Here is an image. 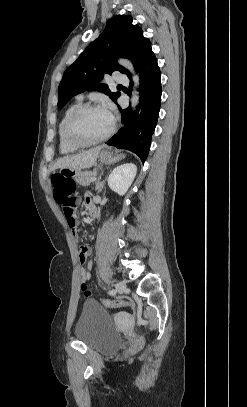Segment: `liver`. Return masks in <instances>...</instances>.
Wrapping results in <instances>:
<instances>
[{"instance_id": "liver-1", "label": "liver", "mask_w": 247, "mask_h": 407, "mask_svg": "<svg viewBox=\"0 0 247 407\" xmlns=\"http://www.w3.org/2000/svg\"><path fill=\"white\" fill-rule=\"evenodd\" d=\"M102 148L103 146H98L76 155L62 157L55 162L53 170L59 168H68L71 170L90 168L95 164Z\"/></svg>"}]
</instances>
